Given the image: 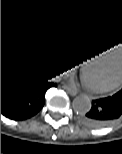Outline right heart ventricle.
Here are the masks:
<instances>
[{"label": "right heart ventricle", "instance_id": "right-heart-ventricle-1", "mask_svg": "<svg viewBox=\"0 0 122 154\" xmlns=\"http://www.w3.org/2000/svg\"><path fill=\"white\" fill-rule=\"evenodd\" d=\"M97 46H100V45H93L92 47H90V49H88V48L87 49H79L74 54L78 58H83V57L87 56L92 50H95L96 48H98Z\"/></svg>", "mask_w": 122, "mask_h": 154}]
</instances>
